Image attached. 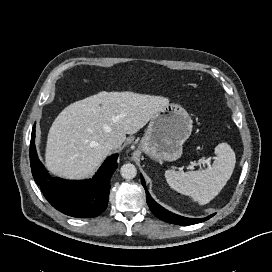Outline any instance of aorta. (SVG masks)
Wrapping results in <instances>:
<instances>
[{"instance_id": "obj_1", "label": "aorta", "mask_w": 272, "mask_h": 272, "mask_svg": "<svg viewBox=\"0 0 272 272\" xmlns=\"http://www.w3.org/2000/svg\"><path fill=\"white\" fill-rule=\"evenodd\" d=\"M120 173L123 178L130 180L136 176L137 169L133 164L127 163L122 165Z\"/></svg>"}]
</instances>
